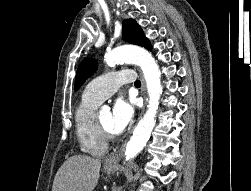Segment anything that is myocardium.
<instances>
[{
    "instance_id": "obj_1",
    "label": "myocardium",
    "mask_w": 251,
    "mask_h": 191,
    "mask_svg": "<svg viewBox=\"0 0 251 191\" xmlns=\"http://www.w3.org/2000/svg\"><path fill=\"white\" fill-rule=\"evenodd\" d=\"M97 126L99 128L100 133L102 134L105 141H112L114 140L115 136L112 134L111 131L107 130L103 124L100 122L99 119H96Z\"/></svg>"
}]
</instances>
